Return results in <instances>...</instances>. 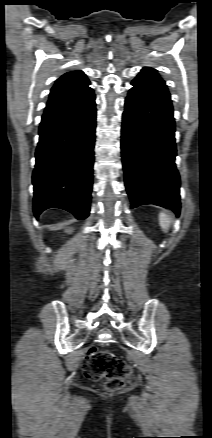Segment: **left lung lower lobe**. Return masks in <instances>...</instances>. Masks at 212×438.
<instances>
[{
	"instance_id": "left-lung-lower-lobe-1",
	"label": "left lung lower lobe",
	"mask_w": 212,
	"mask_h": 438,
	"mask_svg": "<svg viewBox=\"0 0 212 438\" xmlns=\"http://www.w3.org/2000/svg\"><path fill=\"white\" fill-rule=\"evenodd\" d=\"M125 101L122 162L131 208L155 204L180 213L175 122L162 82L136 77Z\"/></svg>"
}]
</instances>
